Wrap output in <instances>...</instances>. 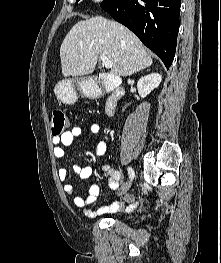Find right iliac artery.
<instances>
[{
    "mask_svg": "<svg viewBox=\"0 0 221 263\" xmlns=\"http://www.w3.org/2000/svg\"><path fill=\"white\" fill-rule=\"evenodd\" d=\"M128 174H129V177L130 179L132 180L135 176L134 174V170L131 168V167H128Z\"/></svg>",
    "mask_w": 221,
    "mask_h": 263,
    "instance_id": "right-iliac-artery-1",
    "label": "right iliac artery"
}]
</instances>
